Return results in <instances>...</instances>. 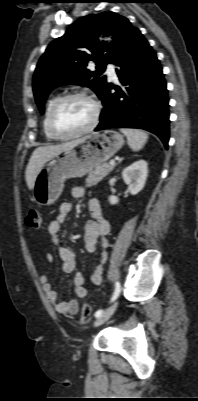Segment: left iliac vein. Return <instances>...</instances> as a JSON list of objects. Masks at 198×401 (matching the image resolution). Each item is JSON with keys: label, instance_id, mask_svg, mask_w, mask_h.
Wrapping results in <instances>:
<instances>
[{"label": "left iliac vein", "instance_id": "1", "mask_svg": "<svg viewBox=\"0 0 198 401\" xmlns=\"http://www.w3.org/2000/svg\"><path fill=\"white\" fill-rule=\"evenodd\" d=\"M117 307V304L112 305L111 307H109L107 310H105L101 316H99L95 322H94V326L98 327L100 325H102L103 323H105L115 312Z\"/></svg>", "mask_w": 198, "mask_h": 401}]
</instances>
